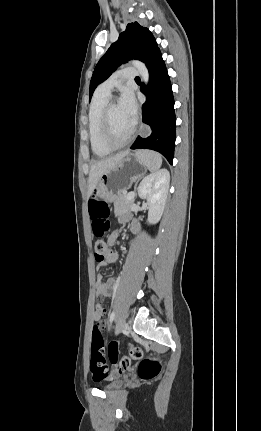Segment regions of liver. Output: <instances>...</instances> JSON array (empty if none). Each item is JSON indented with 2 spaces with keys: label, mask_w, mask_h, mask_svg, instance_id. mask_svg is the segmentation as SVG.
I'll use <instances>...</instances> for the list:
<instances>
[{
  "label": "liver",
  "mask_w": 261,
  "mask_h": 431,
  "mask_svg": "<svg viewBox=\"0 0 261 431\" xmlns=\"http://www.w3.org/2000/svg\"><path fill=\"white\" fill-rule=\"evenodd\" d=\"M128 153L129 151L120 152L112 157L101 159L91 166L88 179V198L93 194V191L98 185L101 176L105 173H108L110 170L115 169L122 159L128 155Z\"/></svg>",
  "instance_id": "1"
}]
</instances>
